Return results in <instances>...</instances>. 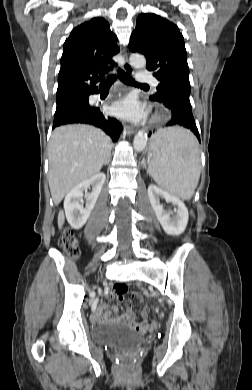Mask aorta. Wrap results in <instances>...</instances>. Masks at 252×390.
Here are the masks:
<instances>
[{
    "mask_svg": "<svg viewBox=\"0 0 252 390\" xmlns=\"http://www.w3.org/2000/svg\"><path fill=\"white\" fill-rule=\"evenodd\" d=\"M130 64L134 68H144L146 65V60L143 55L132 54L130 56ZM147 144V133L143 130L139 131L133 140L134 149L138 152L142 151Z\"/></svg>",
    "mask_w": 252,
    "mask_h": 390,
    "instance_id": "aorta-1",
    "label": "aorta"
}]
</instances>
